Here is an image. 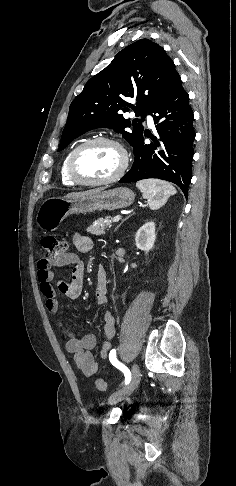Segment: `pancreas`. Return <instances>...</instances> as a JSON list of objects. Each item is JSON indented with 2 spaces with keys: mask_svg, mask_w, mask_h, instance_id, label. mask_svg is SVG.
Here are the masks:
<instances>
[{
  "mask_svg": "<svg viewBox=\"0 0 236 486\" xmlns=\"http://www.w3.org/2000/svg\"><path fill=\"white\" fill-rule=\"evenodd\" d=\"M113 218L111 216H107L105 218H99L95 220L91 226L87 228V232L93 235H102L105 234V231L111 228Z\"/></svg>",
  "mask_w": 236,
  "mask_h": 486,
  "instance_id": "obj_1",
  "label": "pancreas"
}]
</instances>
